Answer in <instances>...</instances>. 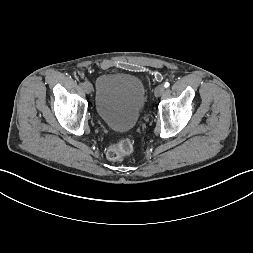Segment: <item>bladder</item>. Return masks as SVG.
I'll use <instances>...</instances> for the list:
<instances>
[{
	"label": "bladder",
	"mask_w": 253,
	"mask_h": 253,
	"mask_svg": "<svg viewBox=\"0 0 253 253\" xmlns=\"http://www.w3.org/2000/svg\"><path fill=\"white\" fill-rule=\"evenodd\" d=\"M146 105V88L134 74L113 72L101 75L96 83L95 108L110 128L132 129Z\"/></svg>",
	"instance_id": "obj_1"
}]
</instances>
